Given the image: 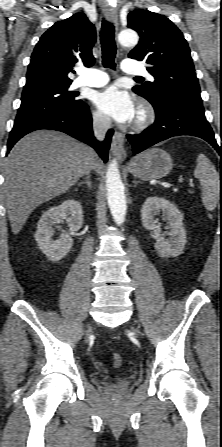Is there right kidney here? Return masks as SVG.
Returning <instances> with one entry per match:
<instances>
[{
    "label": "right kidney",
    "instance_id": "ca27d5eb",
    "mask_svg": "<svg viewBox=\"0 0 222 447\" xmlns=\"http://www.w3.org/2000/svg\"><path fill=\"white\" fill-rule=\"evenodd\" d=\"M66 220L69 232H76L83 224V211L79 201L66 200L58 206L49 208L38 221L35 240L40 250L51 260L59 261L64 258L73 246L70 234L62 233L58 240H54L53 226Z\"/></svg>",
    "mask_w": 222,
    "mask_h": 447
}]
</instances>
